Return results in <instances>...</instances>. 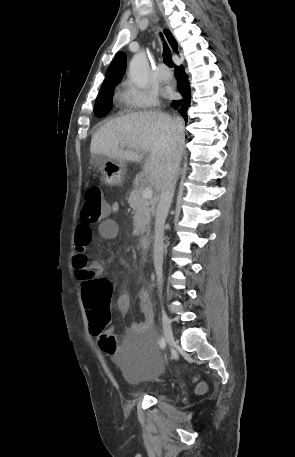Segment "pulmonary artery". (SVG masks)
Returning <instances> with one entry per match:
<instances>
[{"instance_id":"pulmonary-artery-1","label":"pulmonary artery","mask_w":295,"mask_h":457,"mask_svg":"<svg viewBox=\"0 0 295 457\" xmlns=\"http://www.w3.org/2000/svg\"><path fill=\"white\" fill-rule=\"evenodd\" d=\"M157 75L162 81H168L171 78V73L164 64L158 66Z\"/></svg>"}]
</instances>
